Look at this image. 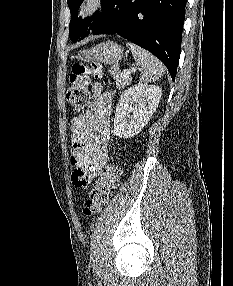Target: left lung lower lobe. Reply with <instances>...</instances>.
I'll use <instances>...</instances> for the list:
<instances>
[{
    "mask_svg": "<svg viewBox=\"0 0 233 286\" xmlns=\"http://www.w3.org/2000/svg\"><path fill=\"white\" fill-rule=\"evenodd\" d=\"M187 0H106L87 31L118 34L159 58L175 80ZM75 41L74 43H76Z\"/></svg>",
    "mask_w": 233,
    "mask_h": 286,
    "instance_id": "0a47b994",
    "label": "left lung lower lobe"
}]
</instances>
